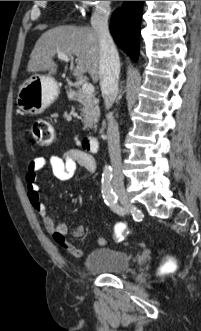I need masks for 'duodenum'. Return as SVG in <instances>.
<instances>
[{"label":"duodenum","mask_w":201,"mask_h":331,"mask_svg":"<svg viewBox=\"0 0 201 331\" xmlns=\"http://www.w3.org/2000/svg\"><path fill=\"white\" fill-rule=\"evenodd\" d=\"M82 145L89 152H97L99 148V142L97 138L93 136H87L83 138Z\"/></svg>","instance_id":"duodenum-1"}]
</instances>
